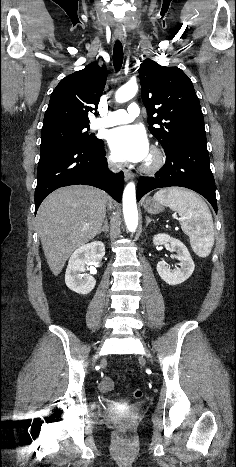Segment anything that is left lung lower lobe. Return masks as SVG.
Wrapping results in <instances>:
<instances>
[{"label": "left lung lower lobe", "mask_w": 236, "mask_h": 467, "mask_svg": "<svg viewBox=\"0 0 236 467\" xmlns=\"http://www.w3.org/2000/svg\"><path fill=\"white\" fill-rule=\"evenodd\" d=\"M166 163L153 177H140L137 201L149 191L171 186L186 187L204 196L217 213L215 181L209 165L206 136H187L165 151Z\"/></svg>", "instance_id": "0a47b994"}]
</instances>
